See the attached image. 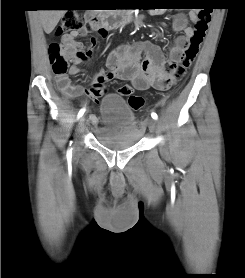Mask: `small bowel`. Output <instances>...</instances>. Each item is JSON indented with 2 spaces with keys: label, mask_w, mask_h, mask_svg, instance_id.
I'll use <instances>...</instances> for the list:
<instances>
[{
  "label": "small bowel",
  "mask_w": 245,
  "mask_h": 278,
  "mask_svg": "<svg viewBox=\"0 0 245 278\" xmlns=\"http://www.w3.org/2000/svg\"><path fill=\"white\" fill-rule=\"evenodd\" d=\"M153 13L159 12L158 9L151 10ZM190 19L195 21L196 15L191 13ZM96 32L90 38L88 46H84L77 41V37H85L89 31ZM172 30L183 31V35H179L174 44L168 49L169 60L166 59L162 48L151 41H145L135 46H119L113 50L107 59V71L100 70L93 77L94 85L90 89L84 88L82 85H74L71 83L69 76L79 73V64H89V58L92 48L96 46L101 39L106 37L107 30L97 25L90 28L85 27L79 32L66 34L61 41L65 44L73 45L87 53L85 60H74L63 77H56L59 90L65 95H69L74 91H84L92 101H97L105 92L104 83L114 80H128L135 89L144 91L149 88L164 89L170 79L167 68L171 62H179L182 60L186 49L190 44V40L194 34V29L188 25L187 18L184 15H178L172 22ZM147 53V57L140 62V54L142 51ZM94 120V118H92Z\"/></svg>",
  "instance_id": "obj_1"
}]
</instances>
